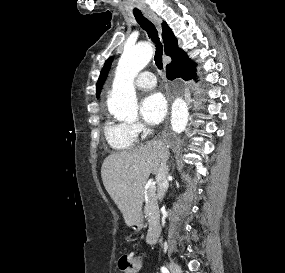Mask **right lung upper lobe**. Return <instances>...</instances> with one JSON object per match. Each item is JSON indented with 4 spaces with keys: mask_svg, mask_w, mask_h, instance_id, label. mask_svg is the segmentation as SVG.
<instances>
[{
    "mask_svg": "<svg viewBox=\"0 0 285 273\" xmlns=\"http://www.w3.org/2000/svg\"><path fill=\"white\" fill-rule=\"evenodd\" d=\"M162 29L165 54L172 58V62L169 65L178 63L187 58V54L182 49L178 48L177 39L166 22L162 23Z\"/></svg>",
    "mask_w": 285,
    "mask_h": 273,
    "instance_id": "obj_1",
    "label": "right lung upper lobe"
}]
</instances>
